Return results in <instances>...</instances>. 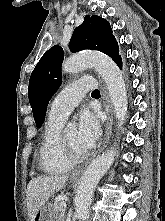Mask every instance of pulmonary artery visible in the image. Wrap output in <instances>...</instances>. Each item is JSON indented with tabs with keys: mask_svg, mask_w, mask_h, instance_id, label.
Returning a JSON list of instances; mask_svg holds the SVG:
<instances>
[{
	"mask_svg": "<svg viewBox=\"0 0 165 221\" xmlns=\"http://www.w3.org/2000/svg\"><path fill=\"white\" fill-rule=\"evenodd\" d=\"M95 88L96 81L92 77H83L69 83L53 99L48 113L49 118L64 121L80 103L85 93Z\"/></svg>",
	"mask_w": 165,
	"mask_h": 221,
	"instance_id": "e3ab8cb5",
	"label": "pulmonary artery"
}]
</instances>
